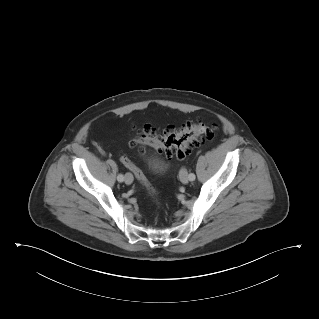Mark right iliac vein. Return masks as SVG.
<instances>
[{
  "label": "right iliac vein",
  "mask_w": 319,
  "mask_h": 319,
  "mask_svg": "<svg viewBox=\"0 0 319 319\" xmlns=\"http://www.w3.org/2000/svg\"><path fill=\"white\" fill-rule=\"evenodd\" d=\"M132 182H133V176H132V174L127 173V174L125 175V183H126L127 185H130V184H132Z\"/></svg>",
  "instance_id": "obj_1"
}]
</instances>
